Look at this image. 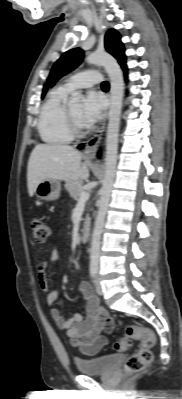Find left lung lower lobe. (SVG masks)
<instances>
[{
    "label": "left lung lower lobe",
    "instance_id": "0a47b994",
    "mask_svg": "<svg viewBox=\"0 0 182 399\" xmlns=\"http://www.w3.org/2000/svg\"><path fill=\"white\" fill-rule=\"evenodd\" d=\"M125 71V77H127V69H123ZM79 148H83V145H79Z\"/></svg>",
    "mask_w": 182,
    "mask_h": 399
}]
</instances>
